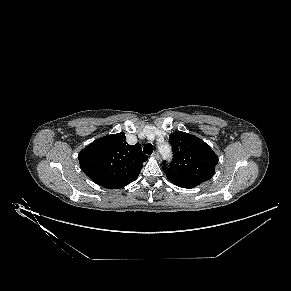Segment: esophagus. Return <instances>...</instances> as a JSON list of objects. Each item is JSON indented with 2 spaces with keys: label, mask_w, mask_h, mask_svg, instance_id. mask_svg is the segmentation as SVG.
I'll return each instance as SVG.
<instances>
[{
  "label": "esophagus",
  "mask_w": 291,
  "mask_h": 291,
  "mask_svg": "<svg viewBox=\"0 0 291 291\" xmlns=\"http://www.w3.org/2000/svg\"><path fill=\"white\" fill-rule=\"evenodd\" d=\"M152 156L155 158V159H159L160 158V155H159V153L157 152V151H155L153 154H152Z\"/></svg>",
  "instance_id": "obj_1"
}]
</instances>
